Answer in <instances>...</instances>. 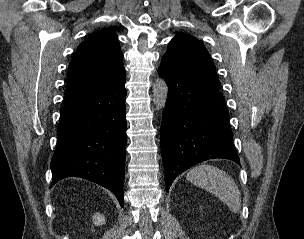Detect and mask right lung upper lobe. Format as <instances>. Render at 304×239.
<instances>
[{
	"instance_id": "1",
	"label": "right lung upper lobe",
	"mask_w": 304,
	"mask_h": 239,
	"mask_svg": "<svg viewBox=\"0 0 304 239\" xmlns=\"http://www.w3.org/2000/svg\"><path fill=\"white\" fill-rule=\"evenodd\" d=\"M124 73L123 54L114 30L94 32L78 46L69 64L64 104L96 92Z\"/></svg>"
}]
</instances>
